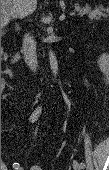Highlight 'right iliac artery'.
Here are the masks:
<instances>
[{"label": "right iliac artery", "instance_id": "1", "mask_svg": "<svg viewBox=\"0 0 109 170\" xmlns=\"http://www.w3.org/2000/svg\"><path fill=\"white\" fill-rule=\"evenodd\" d=\"M41 111H42V107H38V108L32 113L29 121H30L31 123L35 122V121L37 120V118L39 117ZM13 168H14L15 170H18V168H19V163H13Z\"/></svg>", "mask_w": 109, "mask_h": 170}]
</instances>
